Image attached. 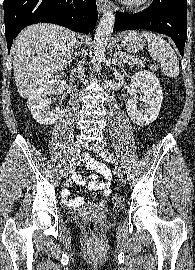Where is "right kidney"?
<instances>
[{"label":"right kidney","instance_id":"right-kidney-1","mask_svg":"<svg viewBox=\"0 0 195 270\" xmlns=\"http://www.w3.org/2000/svg\"><path fill=\"white\" fill-rule=\"evenodd\" d=\"M65 81L57 78L46 81L38 87L28 98L27 106L33 118L41 125H52L59 118L62 110L60 107L50 109V94H59L64 88Z\"/></svg>","mask_w":195,"mask_h":270}]
</instances>
